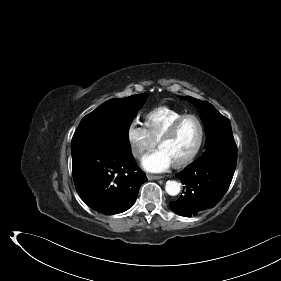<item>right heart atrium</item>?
<instances>
[{"mask_svg": "<svg viewBox=\"0 0 281 281\" xmlns=\"http://www.w3.org/2000/svg\"><path fill=\"white\" fill-rule=\"evenodd\" d=\"M127 138L132 154L138 159L152 150L157 144L148 133L146 127L136 121L129 125Z\"/></svg>", "mask_w": 281, "mask_h": 281, "instance_id": "1", "label": "right heart atrium"}]
</instances>
